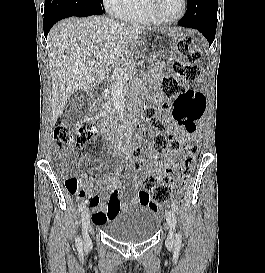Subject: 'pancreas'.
I'll return each mask as SVG.
<instances>
[{
  "label": "pancreas",
  "instance_id": "1",
  "mask_svg": "<svg viewBox=\"0 0 265 273\" xmlns=\"http://www.w3.org/2000/svg\"><path fill=\"white\" fill-rule=\"evenodd\" d=\"M138 64L139 63L133 57L128 56L127 58H123L122 60H120L115 65L114 72L110 80V84L104 95L105 102L102 104L103 110L105 111L112 110L114 90H115V87L118 85L119 81L121 80V78L119 77V73L122 71L124 73L123 77L125 78L132 77L137 71Z\"/></svg>",
  "mask_w": 265,
  "mask_h": 273
}]
</instances>
